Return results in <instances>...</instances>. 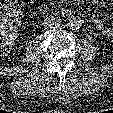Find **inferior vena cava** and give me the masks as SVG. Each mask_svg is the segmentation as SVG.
<instances>
[{
    "label": "inferior vena cava",
    "mask_w": 113,
    "mask_h": 113,
    "mask_svg": "<svg viewBox=\"0 0 113 113\" xmlns=\"http://www.w3.org/2000/svg\"><path fill=\"white\" fill-rule=\"evenodd\" d=\"M60 25H61L60 19L54 16L46 17L43 21V26L46 29H56L59 28Z\"/></svg>",
    "instance_id": "1"
}]
</instances>
